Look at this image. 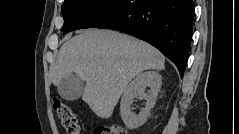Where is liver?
<instances>
[{
  "label": "liver",
  "instance_id": "6515ba94",
  "mask_svg": "<svg viewBox=\"0 0 239 134\" xmlns=\"http://www.w3.org/2000/svg\"><path fill=\"white\" fill-rule=\"evenodd\" d=\"M164 68V56L150 44L112 30L88 29L62 45L51 77L57 86L76 73L86 82L82 100L98 117L109 118L136 75Z\"/></svg>",
  "mask_w": 239,
  "mask_h": 134
}]
</instances>
